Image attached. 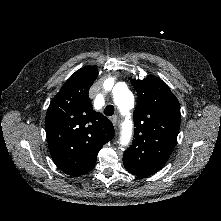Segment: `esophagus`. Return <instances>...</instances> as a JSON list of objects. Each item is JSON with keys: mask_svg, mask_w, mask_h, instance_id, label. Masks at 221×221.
<instances>
[{"mask_svg": "<svg viewBox=\"0 0 221 221\" xmlns=\"http://www.w3.org/2000/svg\"><path fill=\"white\" fill-rule=\"evenodd\" d=\"M111 122L113 123V125L115 126L117 124V115H113L110 117Z\"/></svg>", "mask_w": 221, "mask_h": 221, "instance_id": "34e87169", "label": "esophagus"}]
</instances>
